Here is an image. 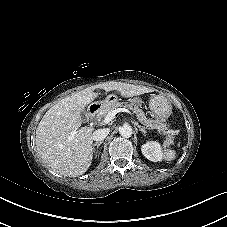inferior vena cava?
I'll use <instances>...</instances> for the list:
<instances>
[{
	"label": "inferior vena cava",
	"instance_id": "602c4592",
	"mask_svg": "<svg viewBox=\"0 0 227 227\" xmlns=\"http://www.w3.org/2000/svg\"><path fill=\"white\" fill-rule=\"evenodd\" d=\"M109 132V128L98 129L93 132V140L96 142H101L108 136Z\"/></svg>",
	"mask_w": 227,
	"mask_h": 227
}]
</instances>
